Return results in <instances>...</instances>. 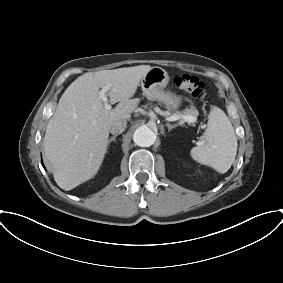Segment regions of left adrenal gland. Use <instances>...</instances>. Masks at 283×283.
I'll return each instance as SVG.
<instances>
[{
  "mask_svg": "<svg viewBox=\"0 0 283 283\" xmlns=\"http://www.w3.org/2000/svg\"><path fill=\"white\" fill-rule=\"evenodd\" d=\"M166 126L168 127V131H171L173 128L177 127L178 124L171 125V124L167 123Z\"/></svg>",
  "mask_w": 283,
  "mask_h": 283,
  "instance_id": "1",
  "label": "left adrenal gland"
}]
</instances>
